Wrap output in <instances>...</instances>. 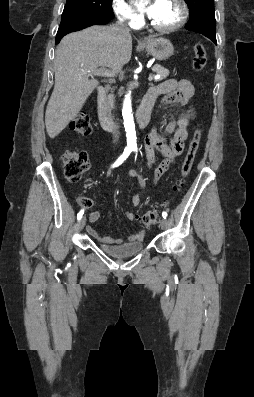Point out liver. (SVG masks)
<instances>
[{
	"label": "liver",
	"mask_w": 254,
	"mask_h": 397,
	"mask_svg": "<svg viewBox=\"0 0 254 397\" xmlns=\"http://www.w3.org/2000/svg\"><path fill=\"white\" fill-rule=\"evenodd\" d=\"M132 38L115 26H92L66 35L56 48L55 85L45 114L46 130L55 138L82 109L99 82L89 76L99 67L113 74L131 59Z\"/></svg>",
	"instance_id": "6515ba94"
}]
</instances>
